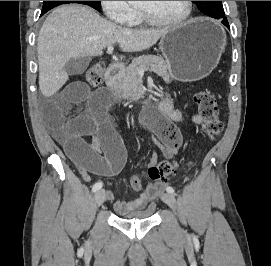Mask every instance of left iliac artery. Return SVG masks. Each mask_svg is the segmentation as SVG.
<instances>
[{
    "instance_id": "1",
    "label": "left iliac artery",
    "mask_w": 271,
    "mask_h": 266,
    "mask_svg": "<svg viewBox=\"0 0 271 266\" xmlns=\"http://www.w3.org/2000/svg\"><path fill=\"white\" fill-rule=\"evenodd\" d=\"M166 191H167V193L174 194V189H173V187H171V186H168V187L166 188Z\"/></svg>"
}]
</instances>
